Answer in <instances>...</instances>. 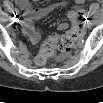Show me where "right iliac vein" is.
Returning <instances> with one entry per match:
<instances>
[{"mask_svg":"<svg viewBox=\"0 0 103 103\" xmlns=\"http://www.w3.org/2000/svg\"><path fill=\"white\" fill-rule=\"evenodd\" d=\"M12 23H14L16 21L15 17L10 19Z\"/></svg>","mask_w":103,"mask_h":103,"instance_id":"right-iliac-vein-1","label":"right iliac vein"}]
</instances>
